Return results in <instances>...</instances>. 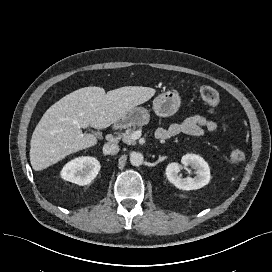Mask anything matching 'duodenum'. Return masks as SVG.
<instances>
[{"mask_svg":"<svg viewBox=\"0 0 272 272\" xmlns=\"http://www.w3.org/2000/svg\"><path fill=\"white\" fill-rule=\"evenodd\" d=\"M119 126H120V123L118 122L113 123V128H118Z\"/></svg>","mask_w":272,"mask_h":272,"instance_id":"duodenum-1","label":"duodenum"}]
</instances>
